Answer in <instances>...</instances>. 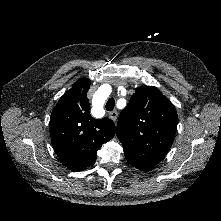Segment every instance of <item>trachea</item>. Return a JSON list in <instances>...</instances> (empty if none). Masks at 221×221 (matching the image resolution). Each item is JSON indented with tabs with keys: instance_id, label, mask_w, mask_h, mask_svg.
<instances>
[{
	"instance_id": "3493384b",
	"label": "trachea",
	"mask_w": 221,
	"mask_h": 221,
	"mask_svg": "<svg viewBox=\"0 0 221 221\" xmlns=\"http://www.w3.org/2000/svg\"><path fill=\"white\" fill-rule=\"evenodd\" d=\"M115 107V100L113 98H109L106 103V110L112 111Z\"/></svg>"
}]
</instances>
